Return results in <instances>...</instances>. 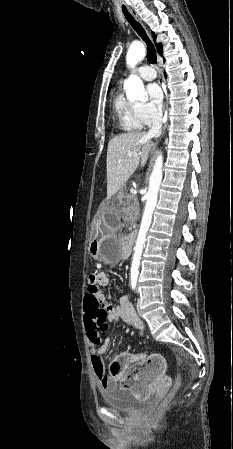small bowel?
<instances>
[{"mask_svg":"<svg viewBox=\"0 0 233 449\" xmlns=\"http://www.w3.org/2000/svg\"><path fill=\"white\" fill-rule=\"evenodd\" d=\"M86 280V289L90 296H100V305L107 312V320L124 321L134 326L139 332L143 330V322L136 315L128 295H123L118 302H114L110 295L104 294L103 287L108 286L111 281L107 273L90 270ZM84 327L91 350V363L101 390L110 389L123 379L129 378L130 390H134V399H150L153 394L161 393L159 377L165 376L163 354H152V363H146L145 368H139V375H132L134 368L130 363L146 361L147 356L136 353L123 354L111 362L110 372L107 374L103 354L107 351L111 338L108 333L101 334L98 328H87L86 323Z\"/></svg>","mask_w":233,"mask_h":449,"instance_id":"small-bowel-1","label":"small bowel"}]
</instances>
